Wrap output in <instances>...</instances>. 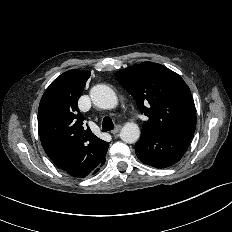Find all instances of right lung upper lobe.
Segmentation results:
<instances>
[{
	"mask_svg": "<svg viewBox=\"0 0 232 232\" xmlns=\"http://www.w3.org/2000/svg\"><path fill=\"white\" fill-rule=\"evenodd\" d=\"M90 72L69 70L56 78L43 94L38 109L42 146L54 164L69 175L83 178L105 159L108 142L84 129L78 109Z\"/></svg>",
	"mask_w": 232,
	"mask_h": 232,
	"instance_id": "cb5924a9",
	"label": "right lung upper lobe"
}]
</instances>
